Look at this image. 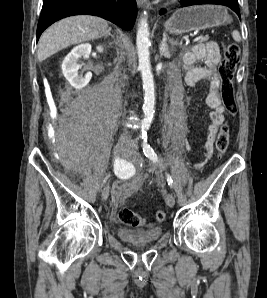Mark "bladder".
<instances>
[{"label": "bladder", "mask_w": 267, "mask_h": 298, "mask_svg": "<svg viewBox=\"0 0 267 298\" xmlns=\"http://www.w3.org/2000/svg\"><path fill=\"white\" fill-rule=\"evenodd\" d=\"M162 235L161 227H153L146 230H136L131 228H120L117 236L122 241L134 245L145 246L156 242Z\"/></svg>", "instance_id": "31cf9c89"}]
</instances>
